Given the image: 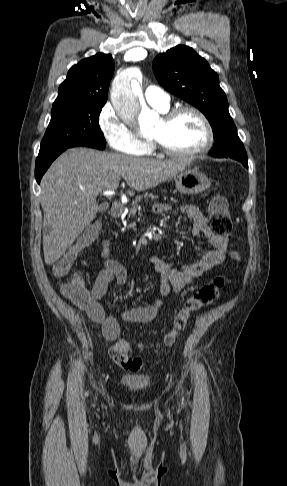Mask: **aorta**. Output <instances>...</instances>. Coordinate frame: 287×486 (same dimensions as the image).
Segmentation results:
<instances>
[{
	"instance_id": "1",
	"label": "aorta",
	"mask_w": 287,
	"mask_h": 486,
	"mask_svg": "<svg viewBox=\"0 0 287 486\" xmlns=\"http://www.w3.org/2000/svg\"><path fill=\"white\" fill-rule=\"evenodd\" d=\"M110 96L117 114L125 122H138L141 129L153 126L155 114L142 100L139 82L129 74L123 73L114 79Z\"/></svg>"
}]
</instances>
